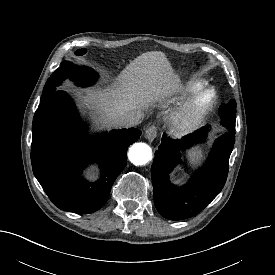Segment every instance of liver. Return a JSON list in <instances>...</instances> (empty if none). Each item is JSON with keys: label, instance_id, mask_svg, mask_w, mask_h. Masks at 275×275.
<instances>
[{"label": "liver", "instance_id": "liver-1", "mask_svg": "<svg viewBox=\"0 0 275 275\" xmlns=\"http://www.w3.org/2000/svg\"><path fill=\"white\" fill-rule=\"evenodd\" d=\"M176 79L163 52H146L122 70L113 86L88 90L82 102L94 110L98 125L118 127L116 120L121 115L126 112L141 115V108L162 98Z\"/></svg>", "mask_w": 275, "mask_h": 275}]
</instances>
